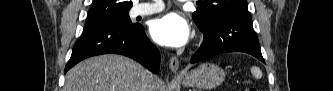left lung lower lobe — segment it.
Returning a JSON list of instances; mask_svg holds the SVG:
<instances>
[{
  "mask_svg": "<svg viewBox=\"0 0 333 91\" xmlns=\"http://www.w3.org/2000/svg\"><path fill=\"white\" fill-rule=\"evenodd\" d=\"M202 33L204 41L191 63L226 52H245L264 62L249 12L224 15Z\"/></svg>",
  "mask_w": 333,
  "mask_h": 91,
  "instance_id": "1",
  "label": "left lung lower lobe"
}]
</instances>
